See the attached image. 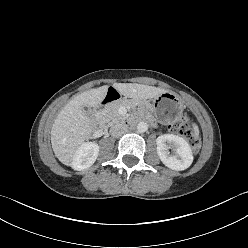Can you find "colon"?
<instances>
[{
    "instance_id": "colon-1",
    "label": "colon",
    "mask_w": 248,
    "mask_h": 248,
    "mask_svg": "<svg viewBox=\"0 0 248 248\" xmlns=\"http://www.w3.org/2000/svg\"><path fill=\"white\" fill-rule=\"evenodd\" d=\"M169 130L187 139L193 152H198L201 142L197 134L192 130L189 118L184 115L169 125Z\"/></svg>"
}]
</instances>
